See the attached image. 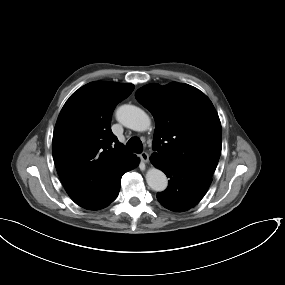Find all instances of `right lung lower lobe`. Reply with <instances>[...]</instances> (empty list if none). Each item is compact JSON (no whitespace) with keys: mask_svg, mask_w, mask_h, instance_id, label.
Wrapping results in <instances>:
<instances>
[{"mask_svg":"<svg viewBox=\"0 0 285 285\" xmlns=\"http://www.w3.org/2000/svg\"><path fill=\"white\" fill-rule=\"evenodd\" d=\"M138 163H139V159L136 156L132 160V162L130 163L129 167L127 168V170L125 172L135 168L138 165ZM123 174H121L116 179V181L106 190V192L104 193V195L100 199H98L96 202L89 204L83 208L89 209V210H98V209H102V208L107 207L111 202H113L116 199V197L118 196L120 186H121V177Z\"/></svg>","mask_w":285,"mask_h":285,"instance_id":"1","label":"right lung lower lobe"}]
</instances>
